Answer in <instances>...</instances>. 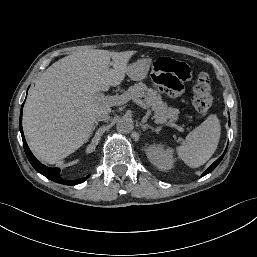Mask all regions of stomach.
<instances>
[{
	"instance_id": "stomach-1",
	"label": "stomach",
	"mask_w": 257,
	"mask_h": 257,
	"mask_svg": "<svg viewBox=\"0 0 257 257\" xmlns=\"http://www.w3.org/2000/svg\"><path fill=\"white\" fill-rule=\"evenodd\" d=\"M151 63L152 60L150 58L140 59L127 67L126 74L131 80H142L147 76Z\"/></svg>"
}]
</instances>
